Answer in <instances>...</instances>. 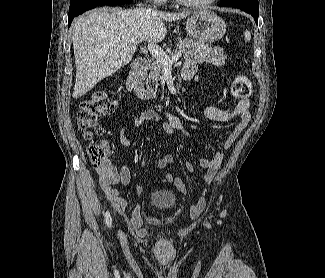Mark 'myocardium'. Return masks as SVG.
<instances>
[{"label":"myocardium","instance_id":"1","mask_svg":"<svg viewBox=\"0 0 325 278\" xmlns=\"http://www.w3.org/2000/svg\"><path fill=\"white\" fill-rule=\"evenodd\" d=\"M180 5L192 8H205L213 4L216 0H203V1H192V0H175Z\"/></svg>","mask_w":325,"mask_h":278}]
</instances>
